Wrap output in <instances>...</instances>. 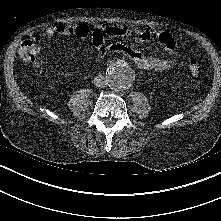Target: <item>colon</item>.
Listing matches in <instances>:
<instances>
[{
	"label": "colon",
	"instance_id": "colon-1",
	"mask_svg": "<svg viewBox=\"0 0 221 221\" xmlns=\"http://www.w3.org/2000/svg\"><path fill=\"white\" fill-rule=\"evenodd\" d=\"M39 53L38 43L34 38H26L22 41L19 48V57L22 62L27 64H33L37 60ZM200 65L198 62L192 60L187 65V72L189 76L194 79H199L200 77Z\"/></svg>",
	"mask_w": 221,
	"mask_h": 221
}]
</instances>
